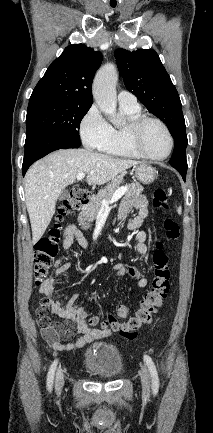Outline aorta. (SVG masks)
<instances>
[{
	"instance_id": "762f6f07",
	"label": "aorta",
	"mask_w": 213,
	"mask_h": 433,
	"mask_svg": "<svg viewBox=\"0 0 213 433\" xmlns=\"http://www.w3.org/2000/svg\"><path fill=\"white\" fill-rule=\"evenodd\" d=\"M118 74L113 64L103 66L96 74L93 82V97L100 110L109 116L114 125H118L121 119L116 113L117 96L116 83Z\"/></svg>"
}]
</instances>
